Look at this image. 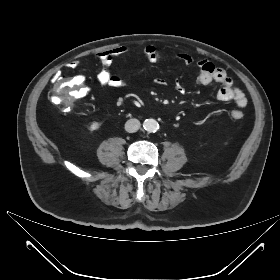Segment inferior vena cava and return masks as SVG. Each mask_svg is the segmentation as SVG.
<instances>
[{
    "label": "inferior vena cava",
    "mask_w": 280,
    "mask_h": 280,
    "mask_svg": "<svg viewBox=\"0 0 280 280\" xmlns=\"http://www.w3.org/2000/svg\"><path fill=\"white\" fill-rule=\"evenodd\" d=\"M141 124L140 121L137 119H129L125 123V130L129 133H134L139 130Z\"/></svg>",
    "instance_id": "602c4592"
}]
</instances>
